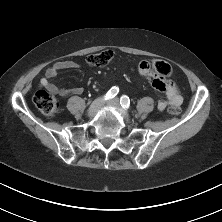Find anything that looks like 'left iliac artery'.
Wrapping results in <instances>:
<instances>
[{
    "instance_id": "1",
    "label": "left iliac artery",
    "mask_w": 222,
    "mask_h": 222,
    "mask_svg": "<svg viewBox=\"0 0 222 222\" xmlns=\"http://www.w3.org/2000/svg\"><path fill=\"white\" fill-rule=\"evenodd\" d=\"M120 104H121V106H122L124 109L129 108V106H130V99H129V97L126 96V95H123V96L120 98Z\"/></svg>"
}]
</instances>
